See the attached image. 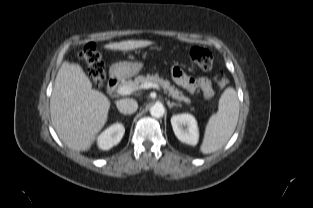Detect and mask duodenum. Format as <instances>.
<instances>
[{
	"instance_id": "1",
	"label": "duodenum",
	"mask_w": 313,
	"mask_h": 208,
	"mask_svg": "<svg viewBox=\"0 0 313 208\" xmlns=\"http://www.w3.org/2000/svg\"><path fill=\"white\" fill-rule=\"evenodd\" d=\"M119 80H120L119 74L117 73L115 69H113L107 81V91L114 92L118 86Z\"/></svg>"
}]
</instances>
